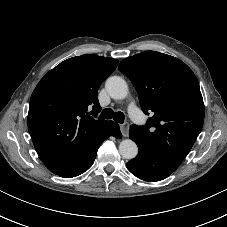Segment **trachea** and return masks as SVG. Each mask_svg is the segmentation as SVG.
<instances>
[{
	"mask_svg": "<svg viewBox=\"0 0 227 227\" xmlns=\"http://www.w3.org/2000/svg\"><path fill=\"white\" fill-rule=\"evenodd\" d=\"M99 119H113L122 124L124 123L125 115L121 111L114 112L111 108H106L100 114Z\"/></svg>",
	"mask_w": 227,
	"mask_h": 227,
	"instance_id": "trachea-1",
	"label": "trachea"
}]
</instances>
